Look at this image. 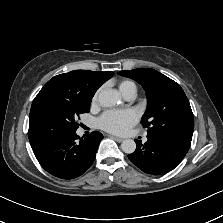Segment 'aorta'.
Returning <instances> with one entry per match:
<instances>
[{
	"instance_id": "762f6f07",
	"label": "aorta",
	"mask_w": 223,
	"mask_h": 223,
	"mask_svg": "<svg viewBox=\"0 0 223 223\" xmlns=\"http://www.w3.org/2000/svg\"><path fill=\"white\" fill-rule=\"evenodd\" d=\"M99 102L103 107H113L116 104H120V95L117 90H103L99 93ZM121 149L127 154H131L136 149V143L132 139L123 140L121 143Z\"/></svg>"
}]
</instances>
